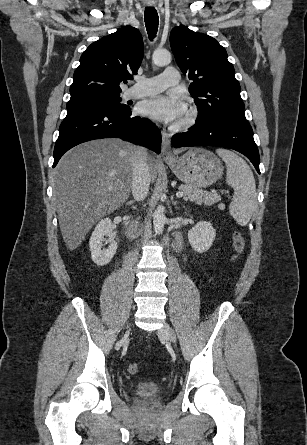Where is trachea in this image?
I'll return each mask as SVG.
<instances>
[{"label":"trachea","instance_id":"trachea-1","mask_svg":"<svg viewBox=\"0 0 307 445\" xmlns=\"http://www.w3.org/2000/svg\"><path fill=\"white\" fill-rule=\"evenodd\" d=\"M144 21L149 38L152 40L156 36L159 22V17L154 7L145 8Z\"/></svg>","mask_w":307,"mask_h":445}]
</instances>
